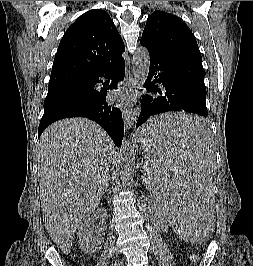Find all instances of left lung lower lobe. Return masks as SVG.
Listing matches in <instances>:
<instances>
[{
    "label": "left lung lower lobe",
    "instance_id": "obj_1",
    "mask_svg": "<svg viewBox=\"0 0 253 266\" xmlns=\"http://www.w3.org/2000/svg\"><path fill=\"white\" fill-rule=\"evenodd\" d=\"M150 54V69L145 86L150 95L142 97L136 127L152 116L169 111H187L207 117L205 71L202 58L179 49H157L140 42ZM160 83L161 85H158ZM207 130L203 119L185 124H160L149 130L151 137L185 135L199 138Z\"/></svg>",
    "mask_w": 253,
    "mask_h": 266
}]
</instances>
